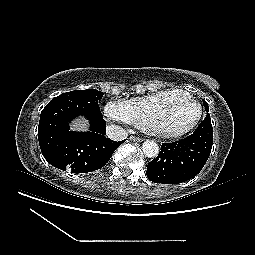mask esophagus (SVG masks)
Segmentation results:
<instances>
[{
	"label": "esophagus",
	"instance_id": "1",
	"mask_svg": "<svg viewBox=\"0 0 255 255\" xmlns=\"http://www.w3.org/2000/svg\"><path fill=\"white\" fill-rule=\"evenodd\" d=\"M131 141L133 142H142L143 139L142 138H139V137H136V136H130L129 138Z\"/></svg>",
	"mask_w": 255,
	"mask_h": 255
}]
</instances>
